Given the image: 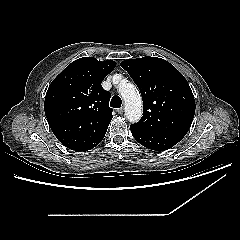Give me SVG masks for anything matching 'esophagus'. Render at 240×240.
<instances>
[{
    "mask_svg": "<svg viewBox=\"0 0 240 240\" xmlns=\"http://www.w3.org/2000/svg\"><path fill=\"white\" fill-rule=\"evenodd\" d=\"M117 112H118V114H123V112H124V109H123V107H121V108H119L118 110H117Z\"/></svg>",
    "mask_w": 240,
    "mask_h": 240,
    "instance_id": "obj_1",
    "label": "esophagus"
}]
</instances>
